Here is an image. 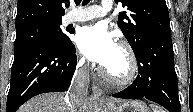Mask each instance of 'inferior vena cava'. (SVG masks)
I'll list each match as a JSON object with an SVG mask.
<instances>
[{
    "label": "inferior vena cava",
    "mask_w": 193,
    "mask_h": 112,
    "mask_svg": "<svg viewBox=\"0 0 193 112\" xmlns=\"http://www.w3.org/2000/svg\"><path fill=\"white\" fill-rule=\"evenodd\" d=\"M89 90V64L80 62L74 73L72 83L67 94V101L71 107H79L84 103Z\"/></svg>",
    "instance_id": "602c4592"
}]
</instances>
